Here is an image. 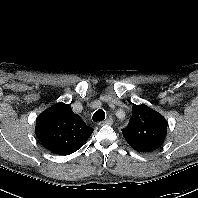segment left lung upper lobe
I'll use <instances>...</instances> for the list:
<instances>
[{
    "mask_svg": "<svg viewBox=\"0 0 198 198\" xmlns=\"http://www.w3.org/2000/svg\"><path fill=\"white\" fill-rule=\"evenodd\" d=\"M168 123L146 105H133L128 126L122 130L127 143L137 152H151L165 141Z\"/></svg>",
    "mask_w": 198,
    "mask_h": 198,
    "instance_id": "obj_1",
    "label": "left lung upper lobe"
}]
</instances>
